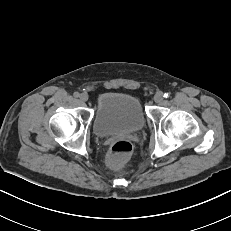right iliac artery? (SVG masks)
Listing matches in <instances>:
<instances>
[{
  "instance_id": "82829eb1",
  "label": "right iliac artery",
  "mask_w": 231,
  "mask_h": 231,
  "mask_svg": "<svg viewBox=\"0 0 231 231\" xmlns=\"http://www.w3.org/2000/svg\"><path fill=\"white\" fill-rule=\"evenodd\" d=\"M79 95H80V94H79L78 92H75V93H74V97H79Z\"/></svg>"
}]
</instances>
